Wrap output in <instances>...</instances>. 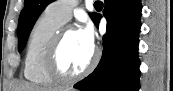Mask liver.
<instances>
[{
	"instance_id": "liver-1",
	"label": "liver",
	"mask_w": 173,
	"mask_h": 91,
	"mask_svg": "<svg viewBox=\"0 0 173 91\" xmlns=\"http://www.w3.org/2000/svg\"><path fill=\"white\" fill-rule=\"evenodd\" d=\"M14 91H58L57 89H52V88H42V87H38L29 83H22L17 85L14 88Z\"/></svg>"
}]
</instances>
